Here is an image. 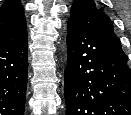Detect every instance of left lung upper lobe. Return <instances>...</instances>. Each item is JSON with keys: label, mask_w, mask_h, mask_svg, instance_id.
Listing matches in <instances>:
<instances>
[{"label": "left lung upper lobe", "mask_w": 131, "mask_h": 115, "mask_svg": "<svg viewBox=\"0 0 131 115\" xmlns=\"http://www.w3.org/2000/svg\"><path fill=\"white\" fill-rule=\"evenodd\" d=\"M71 18L99 36L117 53L127 58L121 49L119 38L113 32L111 20L102 9L97 8L94 0H73Z\"/></svg>", "instance_id": "obj_1"}]
</instances>
